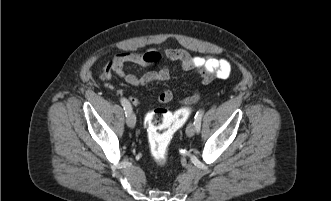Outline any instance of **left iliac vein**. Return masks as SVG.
<instances>
[{
  "label": "left iliac vein",
  "instance_id": "4c4485c4",
  "mask_svg": "<svg viewBox=\"0 0 331 201\" xmlns=\"http://www.w3.org/2000/svg\"><path fill=\"white\" fill-rule=\"evenodd\" d=\"M196 132V125L191 122L188 124L187 128H186V135L188 137H192Z\"/></svg>",
  "mask_w": 331,
  "mask_h": 201
}]
</instances>
